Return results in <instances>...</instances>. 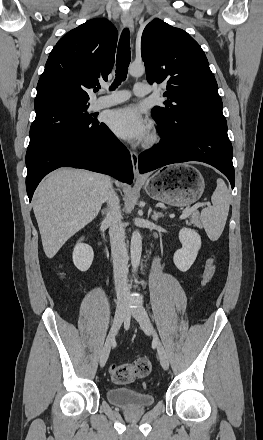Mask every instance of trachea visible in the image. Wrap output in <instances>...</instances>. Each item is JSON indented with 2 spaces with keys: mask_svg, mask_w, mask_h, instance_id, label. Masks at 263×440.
I'll return each instance as SVG.
<instances>
[{
  "mask_svg": "<svg viewBox=\"0 0 263 440\" xmlns=\"http://www.w3.org/2000/svg\"><path fill=\"white\" fill-rule=\"evenodd\" d=\"M130 59V32L128 28H125L122 31L118 45L116 59V78L114 80V83L110 87L111 90H114L118 85L121 84L122 81L126 79Z\"/></svg>",
  "mask_w": 263,
  "mask_h": 440,
  "instance_id": "3493384b",
  "label": "trachea"
}]
</instances>
